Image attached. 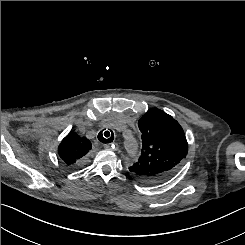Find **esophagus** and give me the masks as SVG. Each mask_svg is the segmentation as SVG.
Instances as JSON below:
<instances>
[{
  "label": "esophagus",
  "mask_w": 245,
  "mask_h": 245,
  "mask_svg": "<svg viewBox=\"0 0 245 245\" xmlns=\"http://www.w3.org/2000/svg\"><path fill=\"white\" fill-rule=\"evenodd\" d=\"M103 147H104L106 150H110V149L113 147V145H111V144H104Z\"/></svg>",
  "instance_id": "obj_1"
}]
</instances>
